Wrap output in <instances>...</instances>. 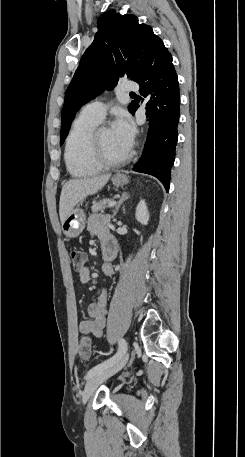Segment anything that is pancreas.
Instances as JSON below:
<instances>
[{"instance_id": "pancreas-1", "label": "pancreas", "mask_w": 245, "mask_h": 457, "mask_svg": "<svg viewBox=\"0 0 245 457\" xmlns=\"http://www.w3.org/2000/svg\"><path fill=\"white\" fill-rule=\"evenodd\" d=\"M112 198H102V200H93V206H91L92 212H99V210H104L108 202H111Z\"/></svg>"}]
</instances>
